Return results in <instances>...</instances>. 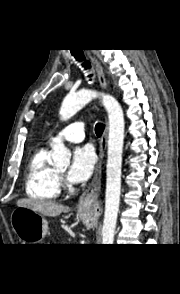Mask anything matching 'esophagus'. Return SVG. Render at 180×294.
<instances>
[{
  "label": "esophagus",
  "mask_w": 180,
  "mask_h": 294,
  "mask_svg": "<svg viewBox=\"0 0 180 294\" xmlns=\"http://www.w3.org/2000/svg\"><path fill=\"white\" fill-rule=\"evenodd\" d=\"M87 54L94 65L100 86L102 89H105L107 83L101 64L91 55L90 51H87ZM107 132L108 125L106 122L105 130L100 141L99 161L96 165L93 179L79 199L78 212L84 215L86 221L97 220L102 214V205L99 200V194L101 186L102 165L107 147Z\"/></svg>",
  "instance_id": "1"
}]
</instances>
